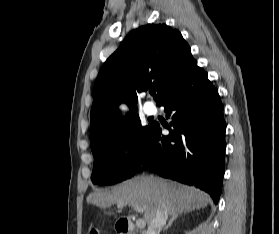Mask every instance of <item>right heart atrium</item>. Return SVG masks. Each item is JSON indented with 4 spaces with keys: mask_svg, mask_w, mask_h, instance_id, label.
Wrapping results in <instances>:
<instances>
[{
    "mask_svg": "<svg viewBox=\"0 0 279 234\" xmlns=\"http://www.w3.org/2000/svg\"><path fill=\"white\" fill-rule=\"evenodd\" d=\"M123 149L130 162L136 161L139 155V147L133 137H126L123 141Z\"/></svg>",
    "mask_w": 279,
    "mask_h": 234,
    "instance_id": "obj_1",
    "label": "right heart atrium"
}]
</instances>
